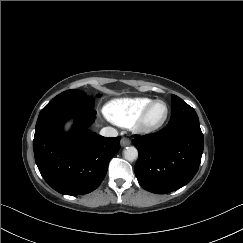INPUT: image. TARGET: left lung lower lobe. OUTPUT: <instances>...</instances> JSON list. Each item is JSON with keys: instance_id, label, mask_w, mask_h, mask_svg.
Returning <instances> with one entry per match:
<instances>
[{"instance_id": "1", "label": "left lung lower lobe", "mask_w": 243, "mask_h": 243, "mask_svg": "<svg viewBox=\"0 0 243 243\" xmlns=\"http://www.w3.org/2000/svg\"><path fill=\"white\" fill-rule=\"evenodd\" d=\"M135 175L147 191L165 194L186 185L198 171L204 140L198 117L171 119L159 132L134 136Z\"/></svg>"}]
</instances>
